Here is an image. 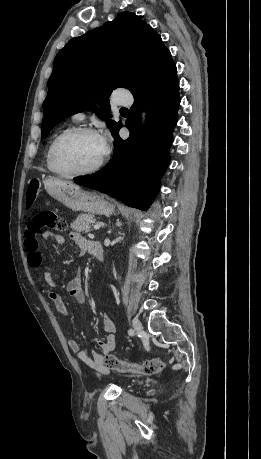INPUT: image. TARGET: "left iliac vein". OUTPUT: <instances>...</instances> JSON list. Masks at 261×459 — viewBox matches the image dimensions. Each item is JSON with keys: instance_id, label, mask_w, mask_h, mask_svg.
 <instances>
[{"instance_id": "4c4485c4", "label": "left iliac vein", "mask_w": 261, "mask_h": 459, "mask_svg": "<svg viewBox=\"0 0 261 459\" xmlns=\"http://www.w3.org/2000/svg\"><path fill=\"white\" fill-rule=\"evenodd\" d=\"M132 324H133L134 330L137 333H141V334L143 333V326H142L141 322L137 318L133 319Z\"/></svg>"}]
</instances>
